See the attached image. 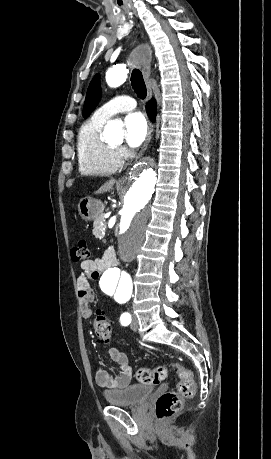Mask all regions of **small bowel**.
I'll list each match as a JSON object with an SVG mask.
<instances>
[{
  "instance_id": "small-bowel-1",
  "label": "small bowel",
  "mask_w": 271,
  "mask_h": 459,
  "mask_svg": "<svg viewBox=\"0 0 271 459\" xmlns=\"http://www.w3.org/2000/svg\"><path fill=\"white\" fill-rule=\"evenodd\" d=\"M110 255L105 254L101 258L84 260L81 262L82 273L78 277V295L82 311L85 318L91 316L90 304L93 300L94 293L90 285L91 280L98 279L104 270L108 267ZM109 357L119 367V372L112 377L103 367H97L95 371L96 383L104 388H124L131 382L132 368L129 364L126 354L116 348L108 351Z\"/></svg>"
}]
</instances>
